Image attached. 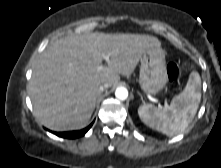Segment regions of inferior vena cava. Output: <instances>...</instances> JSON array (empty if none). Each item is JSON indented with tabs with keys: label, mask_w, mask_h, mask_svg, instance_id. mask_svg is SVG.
Here are the masks:
<instances>
[{
	"label": "inferior vena cava",
	"mask_w": 221,
	"mask_h": 168,
	"mask_svg": "<svg viewBox=\"0 0 221 168\" xmlns=\"http://www.w3.org/2000/svg\"><path fill=\"white\" fill-rule=\"evenodd\" d=\"M108 88V84L107 83H105V84H103V85H100V87H99V90H100V92H103L105 89H107Z\"/></svg>",
	"instance_id": "inferior-vena-cava-1"
}]
</instances>
